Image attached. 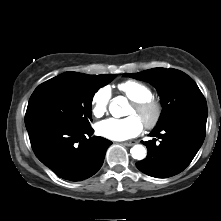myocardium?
Wrapping results in <instances>:
<instances>
[{
  "mask_svg": "<svg viewBox=\"0 0 221 221\" xmlns=\"http://www.w3.org/2000/svg\"><path fill=\"white\" fill-rule=\"evenodd\" d=\"M132 106L138 113L150 114V117L143 122L144 126L147 129H152L156 127L157 124L160 122L163 114V107L158 100L154 98H149L141 101H133Z\"/></svg>",
  "mask_w": 221,
  "mask_h": 221,
  "instance_id": "myocardium-1",
  "label": "myocardium"
}]
</instances>
